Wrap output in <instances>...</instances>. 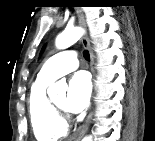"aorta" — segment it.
Returning a JSON list of instances; mask_svg holds the SVG:
<instances>
[{"label": "aorta", "mask_w": 155, "mask_h": 141, "mask_svg": "<svg viewBox=\"0 0 155 141\" xmlns=\"http://www.w3.org/2000/svg\"><path fill=\"white\" fill-rule=\"evenodd\" d=\"M84 34V30L81 27H71L66 28L61 34L56 37L55 45L58 49H66L76 43ZM67 90V85L65 82H57L53 84L49 90L48 94L51 98L55 97L57 94L65 95ZM82 141H92V136H86Z\"/></svg>", "instance_id": "762f6f07"}]
</instances>
